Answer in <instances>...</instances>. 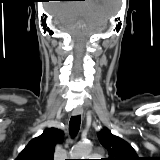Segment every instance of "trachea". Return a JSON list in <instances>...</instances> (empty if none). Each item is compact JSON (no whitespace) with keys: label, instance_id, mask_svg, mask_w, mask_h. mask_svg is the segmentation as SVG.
<instances>
[{"label":"trachea","instance_id":"1","mask_svg":"<svg viewBox=\"0 0 160 160\" xmlns=\"http://www.w3.org/2000/svg\"><path fill=\"white\" fill-rule=\"evenodd\" d=\"M81 116H73L69 122V132L72 137H75L80 129Z\"/></svg>","mask_w":160,"mask_h":160}]
</instances>
